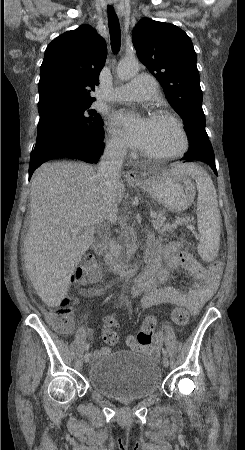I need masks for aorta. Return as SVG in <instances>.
<instances>
[{
    "mask_svg": "<svg viewBox=\"0 0 245 450\" xmlns=\"http://www.w3.org/2000/svg\"><path fill=\"white\" fill-rule=\"evenodd\" d=\"M139 70L136 60H123L117 66V75L121 80H128L135 76Z\"/></svg>",
    "mask_w": 245,
    "mask_h": 450,
    "instance_id": "obj_1",
    "label": "aorta"
}]
</instances>
